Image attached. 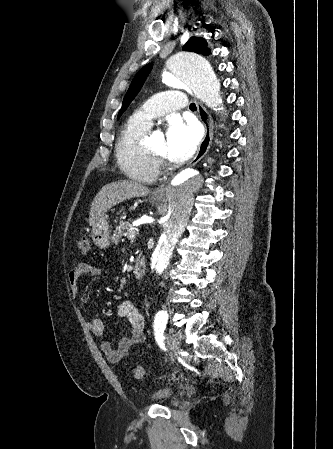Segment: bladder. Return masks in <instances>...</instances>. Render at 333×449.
I'll use <instances>...</instances> for the list:
<instances>
[{
    "label": "bladder",
    "instance_id": "obj_1",
    "mask_svg": "<svg viewBox=\"0 0 333 449\" xmlns=\"http://www.w3.org/2000/svg\"><path fill=\"white\" fill-rule=\"evenodd\" d=\"M173 397V391L168 388L159 389L152 394V398L160 403H168Z\"/></svg>",
    "mask_w": 333,
    "mask_h": 449
}]
</instances>
